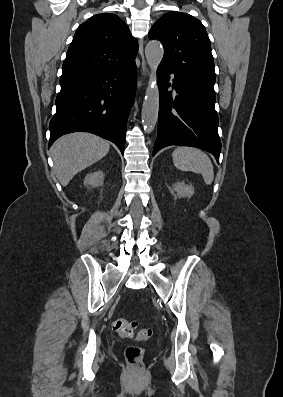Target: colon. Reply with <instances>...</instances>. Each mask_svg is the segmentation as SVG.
I'll return each instance as SVG.
<instances>
[{
    "mask_svg": "<svg viewBox=\"0 0 283 397\" xmlns=\"http://www.w3.org/2000/svg\"><path fill=\"white\" fill-rule=\"evenodd\" d=\"M113 326L120 335L128 338L138 337L140 339H147L152 334L151 329L148 328L136 332L137 323L125 318H117ZM143 356L144 349L142 347L128 346L125 350L126 360L133 369L140 370L142 368Z\"/></svg>",
    "mask_w": 283,
    "mask_h": 397,
    "instance_id": "obj_1",
    "label": "colon"
}]
</instances>
